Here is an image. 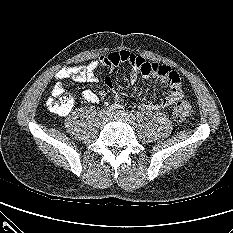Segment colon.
<instances>
[{"mask_svg": "<svg viewBox=\"0 0 233 233\" xmlns=\"http://www.w3.org/2000/svg\"><path fill=\"white\" fill-rule=\"evenodd\" d=\"M73 103V96L70 93L64 92V90L60 88L54 90L52 96L46 101L48 109L58 115L70 112ZM192 112L193 109L190 103L187 101H179L174 107L173 115L177 120L183 121L189 118L192 115Z\"/></svg>", "mask_w": 233, "mask_h": 233, "instance_id": "obj_1", "label": "colon"}]
</instances>
